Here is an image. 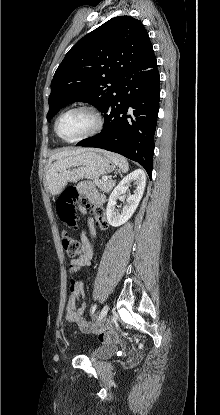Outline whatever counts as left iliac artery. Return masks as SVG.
Segmentation results:
<instances>
[{
  "label": "left iliac artery",
  "instance_id": "obj_1",
  "mask_svg": "<svg viewBox=\"0 0 220 415\" xmlns=\"http://www.w3.org/2000/svg\"><path fill=\"white\" fill-rule=\"evenodd\" d=\"M95 310H96V304H94L92 307H91V309H90V314L91 315H93L94 314V312H95ZM106 315V311H104L103 309H102V311H101V313H100V315H99V319L98 320H100L103 316H105Z\"/></svg>",
  "mask_w": 220,
  "mask_h": 415
}]
</instances>
